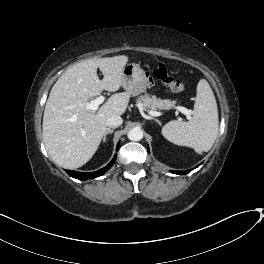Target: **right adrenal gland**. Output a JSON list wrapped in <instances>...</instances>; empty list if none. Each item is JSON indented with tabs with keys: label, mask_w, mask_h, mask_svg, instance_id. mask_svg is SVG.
Masks as SVG:
<instances>
[{
	"label": "right adrenal gland",
	"mask_w": 264,
	"mask_h": 264,
	"mask_svg": "<svg viewBox=\"0 0 264 264\" xmlns=\"http://www.w3.org/2000/svg\"><path fill=\"white\" fill-rule=\"evenodd\" d=\"M113 131H114V129H108V130L105 132L104 137H103V142L106 141L107 135L113 133Z\"/></svg>",
	"instance_id": "2a0ac1e0"
}]
</instances>
